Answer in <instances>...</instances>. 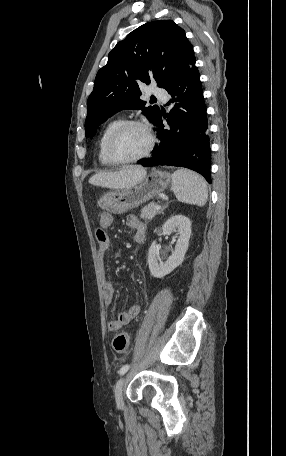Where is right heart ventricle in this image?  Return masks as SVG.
<instances>
[{
  "label": "right heart ventricle",
  "instance_id": "1",
  "mask_svg": "<svg viewBox=\"0 0 286 456\" xmlns=\"http://www.w3.org/2000/svg\"><path fill=\"white\" fill-rule=\"evenodd\" d=\"M122 118L121 117H115L113 119H111L107 124L106 126L104 127L100 137H99V140H98V160L99 162L104 165V166H111L113 165L112 163H110L106 157V154H105V145H106V141L109 137V135L111 134V132L122 122Z\"/></svg>",
  "mask_w": 286,
  "mask_h": 456
}]
</instances>
